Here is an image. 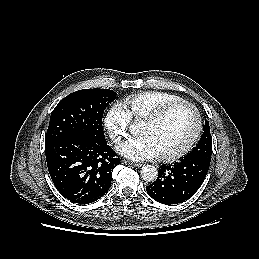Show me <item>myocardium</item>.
Here are the masks:
<instances>
[{"mask_svg": "<svg viewBox=\"0 0 259 259\" xmlns=\"http://www.w3.org/2000/svg\"><path fill=\"white\" fill-rule=\"evenodd\" d=\"M182 106L188 107L193 111L196 119L195 130L191 135V137L187 140V142L184 145H182L179 149L169 153L158 155V158L160 160H164V161L176 160L184 156L194 146V144L197 142L202 132L203 121H202L201 113L194 104H192L191 102L182 100V101H176V102L167 104L143 119V122H146L148 124H155L160 122L162 119H164L173 110Z\"/></svg>", "mask_w": 259, "mask_h": 259, "instance_id": "f54148a6", "label": "myocardium"}]
</instances>
